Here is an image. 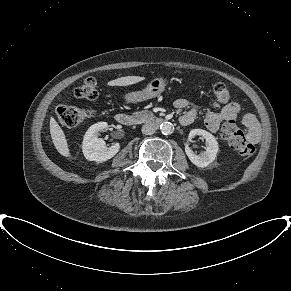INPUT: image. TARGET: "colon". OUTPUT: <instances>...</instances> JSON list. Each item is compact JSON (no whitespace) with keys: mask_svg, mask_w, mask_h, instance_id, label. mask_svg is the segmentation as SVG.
<instances>
[{"mask_svg":"<svg viewBox=\"0 0 291 291\" xmlns=\"http://www.w3.org/2000/svg\"><path fill=\"white\" fill-rule=\"evenodd\" d=\"M76 98L95 102L99 97L97 82L94 78L89 77L83 80L74 90ZM230 91L223 83H217L213 88V102L215 106H223L229 102ZM91 109L60 105L56 109V115L59 122L65 127H74L92 114ZM221 136L228 142L238 154L242 156H251L255 147L244 135L243 131L236 125L235 120L229 119L224 121L221 127Z\"/></svg>","mask_w":291,"mask_h":291,"instance_id":"5ec220e1","label":"colon"}]
</instances>
